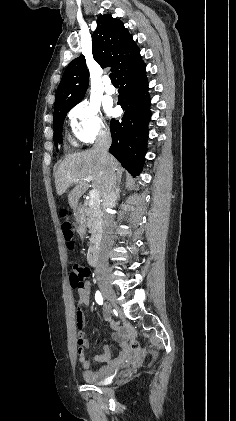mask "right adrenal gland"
<instances>
[{
  "label": "right adrenal gland",
  "mask_w": 236,
  "mask_h": 421,
  "mask_svg": "<svg viewBox=\"0 0 236 421\" xmlns=\"http://www.w3.org/2000/svg\"><path fill=\"white\" fill-rule=\"evenodd\" d=\"M117 196L120 198V188H117Z\"/></svg>",
  "instance_id": "2a0ac1e0"
}]
</instances>
